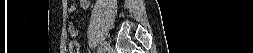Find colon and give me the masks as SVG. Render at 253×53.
Wrapping results in <instances>:
<instances>
[{
	"label": "colon",
	"instance_id": "obj_1",
	"mask_svg": "<svg viewBox=\"0 0 253 53\" xmlns=\"http://www.w3.org/2000/svg\"><path fill=\"white\" fill-rule=\"evenodd\" d=\"M69 52L70 53H78L79 52V46L76 41H72L69 45Z\"/></svg>",
	"mask_w": 253,
	"mask_h": 53
}]
</instances>
